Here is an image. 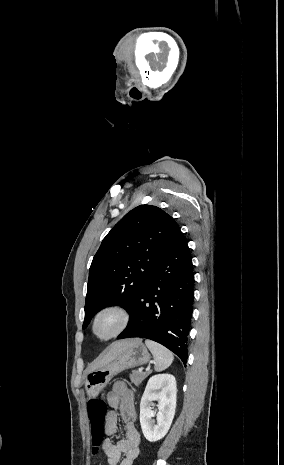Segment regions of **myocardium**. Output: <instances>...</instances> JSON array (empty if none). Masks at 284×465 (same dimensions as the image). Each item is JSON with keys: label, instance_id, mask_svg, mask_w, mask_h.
<instances>
[{"label": "myocardium", "instance_id": "1", "mask_svg": "<svg viewBox=\"0 0 284 465\" xmlns=\"http://www.w3.org/2000/svg\"><path fill=\"white\" fill-rule=\"evenodd\" d=\"M106 314L114 315L118 320V325L115 328V330L109 335L99 336L96 334V327H97L99 319ZM129 323H130V314L125 308L118 306V305H110V306L101 308L99 311L95 313L91 321L90 331H91L92 336L96 340L100 342H108V341H111L119 337L126 330Z\"/></svg>", "mask_w": 284, "mask_h": 465}]
</instances>
